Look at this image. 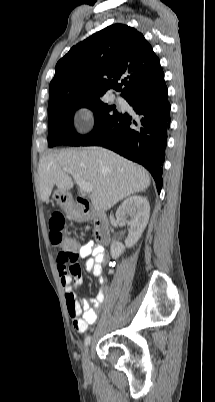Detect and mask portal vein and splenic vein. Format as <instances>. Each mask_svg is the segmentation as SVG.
I'll list each match as a JSON object with an SVG mask.
<instances>
[{"mask_svg":"<svg viewBox=\"0 0 215 402\" xmlns=\"http://www.w3.org/2000/svg\"><path fill=\"white\" fill-rule=\"evenodd\" d=\"M63 171L73 176L75 182L77 183L82 192L89 194L93 191V186L90 183L84 181L83 179L75 175L70 169L63 168Z\"/></svg>","mask_w":215,"mask_h":402,"instance_id":"18ae733b","label":"portal vein and splenic vein"}]
</instances>
